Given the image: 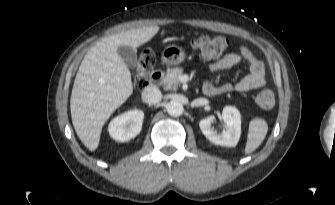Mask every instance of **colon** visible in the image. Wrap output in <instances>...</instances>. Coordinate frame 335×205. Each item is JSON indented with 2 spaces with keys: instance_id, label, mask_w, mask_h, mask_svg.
Returning <instances> with one entry per match:
<instances>
[{
  "instance_id": "obj_1",
  "label": "colon",
  "mask_w": 335,
  "mask_h": 205,
  "mask_svg": "<svg viewBox=\"0 0 335 205\" xmlns=\"http://www.w3.org/2000/svg\"><path fill=\"white\" fill-rule=\"evenodd\" d=\"M192 47L204 59L212 60L221 57L230 45V40L222 36H200L191 42ZM155 65V55L145 49L140 54L137 68L133 76L134 86L143 89L149 84V75ZM256 103L262 109H270L274 106L275 98L270 90H263L256 96Z\"/></svg>"
}]
</instances>
